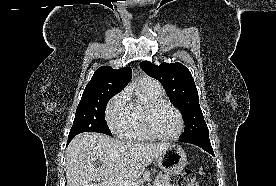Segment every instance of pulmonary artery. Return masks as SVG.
Masks as SVG:
<instances>
[{"mask_svg": "<svg viewBox=\"0 0 276 186\" xmlns=\"http://www.w3.org/2000/svg\"><path fill=\"white\" fill-rule=\"evenodd\" d=\"M142 82H143V83H146V84H148V85H150V86L156 87V88L161 87L160 84H159L156 80H154V79H152V78H149V77L144 78V79L142 80Z\"/></svg>", "mask_w": 276, "mask_h": 186, "instance_id": "pulmonary-artery-1", "label": "pulmonary artery"}]
</instances>
